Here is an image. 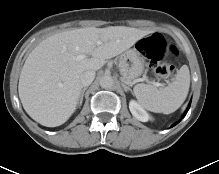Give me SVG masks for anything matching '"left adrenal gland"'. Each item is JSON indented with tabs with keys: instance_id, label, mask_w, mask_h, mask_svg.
<instances>
[{
	"instance_id": "a2214340",
	"label": "left adrenal gland",
	"mask_w": 219,
	"mask_h": 174,
	"mask_svg": "<svg viewBox=\"0 0 219 174\" xmlns=\"http://www.w3.org/2000/svg\"><path fill=\"white\" fill-rule=\"evenodd\" d=\"M123 86H124V90H125L126 92H127V91H131V92H132L131 88L128 87L127 85H125V83L123 84Z\"/></svg>"
}]
</instances>
